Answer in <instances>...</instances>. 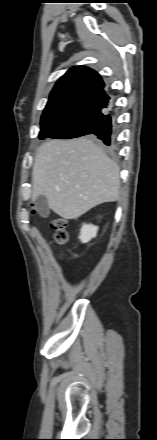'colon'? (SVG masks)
Instances as JSON below:
<instances>
[{
    "instance_id": "colon-1",
    "label": "colon",
    "mask_w": 157,
    "mask_h": 440,
    "mask_svg": "<svg viewBox=\"0 0 157 440\" xmlns=\"http://www.w3.org/2000/svg\"><path fill=\"white\" fill-rule=\"evenodd\" d=\"M51 226L54 232V239L59 244H64L68 240L67 224L62 218L52 220Z\"/></svg>"
}]
</instances>
